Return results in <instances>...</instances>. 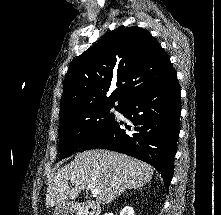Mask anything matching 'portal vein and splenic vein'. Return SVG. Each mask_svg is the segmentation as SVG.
<instances>
[{
    "label": "portal vein and splenic vein",
    "instance_id": "portal-vein-and-splenic-vein-1",
    "mask_svg": "<svg viewBox=\"0 0 221 215\" xmlns=\"http://www.w3.org/2000/svg\"><path fill=\"white\" fill-rule=\"evenodd\" d=\"M87 187H88V189L91 191V194H93V195H97V194H99V192H100L98 189L93 188V187L90 186V185H88Z\"/></svg>",
    "mask_w": 221,
    "mask_h": 215
}]
</instances>
